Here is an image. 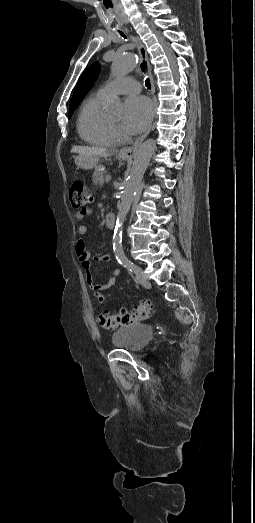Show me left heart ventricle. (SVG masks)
<instances>
[{
  "label": "left heart ventricle",
  "instance_id": "b2bd125f",
  "mask_svg": "<svg viewBox=\"0 0 255 523\" xmlns=\"http://www.w3.org/2000/svg\"><path fill=\"white\" fill-rule=\"evenodd\" d=\"M120 115H116V116H113L110 118L113 119L114 121H116L121 126L122 130L125 131V125H124Z\"/></svg>",
  "mask_w": 255,
  "mask_h": 523
}]
</instances>
